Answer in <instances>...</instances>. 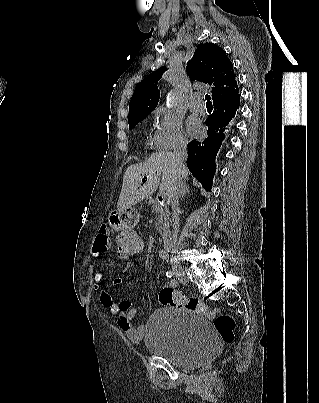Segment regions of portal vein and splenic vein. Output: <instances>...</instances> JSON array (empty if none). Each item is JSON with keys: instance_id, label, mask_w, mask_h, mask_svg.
<instances>
[{"instance_id": "1", "label": "portal vein and splenic vein", "mask_w": 319, "mask_h": 403, "mask_svg": "<svg viewBox=\"0 0 319 403\" xmlns=\"http://www.w3.org/2000/svg\"><path fill=\"white\" fill-rule=\"evenodd\" d=\"M161 191H163V190H161ZM162 196H164V193H162Z\"/></svg>"}]
</instances>
